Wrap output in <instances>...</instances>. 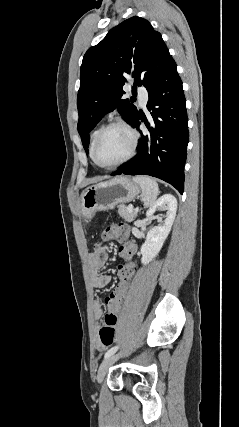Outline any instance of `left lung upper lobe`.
<instances>
[{
  "mask_svg": "<svg viewBox=\"0 0 239 427\" xmlns=\"http://www.w3.org/2000/svg\"><path fill=\"white\" fill-rule=\"evenodd\" d=\"M173 61L161 34L138 16L123 21L87 50L77 96L78 132L86 153L89 133L106 113L117 108L130 125L136 118L134 98L121 99L128 75L135 80L134 94L137 83L147 88Z\"/></svg>",
  "mask_w": 239,
  "mask_h": 427,
  "instance_id": "left-lung-upper-lobe-1",
  "label": "left lung upper lobe"
}]
</instances>
